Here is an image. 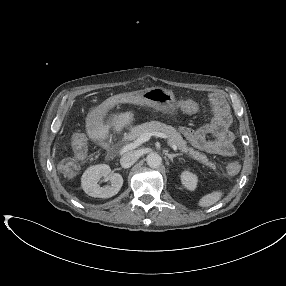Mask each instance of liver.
<instances>
[{
    "label": "liver",
    "mask_w": 286,
    "mask_h": 286,
    "mask_svg": "<svg viewBox=\"0 0 286 286\" xmlns=\"http://www.w3.org/2000/svg\"><path fill=\"white\" fill-rule=\"evenodd\" d=\"M134 114L132 111H127L119 114H111L107 120V123L96 122L94 125L87 129L89 138L93 141L105 140L108 137L109 129L114 126V129L118 132L123 129L124 126L130 124L133 121Z\"/></svg>",
    "instance_id": "1"
}]
</instances>
